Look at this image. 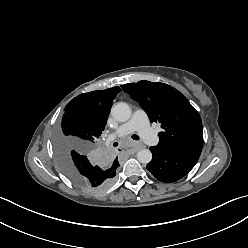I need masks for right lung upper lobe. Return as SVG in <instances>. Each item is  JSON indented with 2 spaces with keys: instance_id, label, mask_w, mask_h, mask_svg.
Wrapping results in <instances>:
<instances>
[{
  "instance_id": "1",
  "label": "right lung upper lobe",
  "mask_w": 248,
  "mask_h": 248,
  "mask_svg": "<svg viewBox=\"0 0 248 248\" xmlns=\"http://www.w3.org/2000/svg\"><path fill=\"white\" fill-rule=\"evenodd\" d=\"M120 91L121 89L119 87H113L105 90L83 93L72 99L67 104L66 110L74 108L82 109L88 116V119L93 124L94 128L101 134L107 123L112 101ZM112 167L116 169L119 167L117 158L114 160Z\"/></svg>"
}]
</instances>
